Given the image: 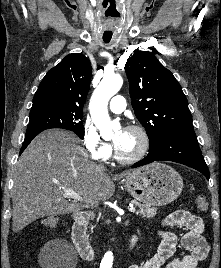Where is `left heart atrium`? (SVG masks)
<instances>
[{
	"mask_svg": "<svg viewBox=\"0 0 221 268\" xmlns=\"http://www.w3.org/2000/svg\"><path fill=\"white\" fill-rule=\"evenodd\" d=\"M123 136H124V131H123V133H122L121 139L123 138ZM119 143H120V142H119ZM119 143H116V144H115L116 147L119 145Z\"/></svg>",
	"mask_w": 221,
	"mask_h": 268,
	"instance_id": "39dd6f15",
	"label": "left heart atrium"
}]
</instances>
